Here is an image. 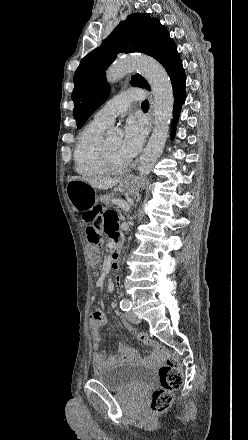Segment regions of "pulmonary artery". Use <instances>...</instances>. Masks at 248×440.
<instances>
[{
    "mask_svg": "<svg viewBox=\"0 0 248 440\" xmlns=\"http://www.w3.org/2000/svg\"><path fill=\"white\" fill-rule=\"evenodd\" d=\"M144 91L139 88L125 90L110 99L94 116V120L105 126L112 124L114 119L124 113L135 100H141Z\"/></svg>",
    "mask_w": 248,
    "mask_h": 440,
    "instance_id": "pulmonary-artery-1",
    "label": "pulmonary artery"
}]
</instances>
